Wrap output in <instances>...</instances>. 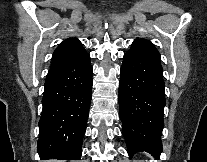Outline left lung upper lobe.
Listing matches in <instances>:
<instances>
[{
  "label": "left lung upper lobe",
  "mask_w": 207,
  "mask_h": 162,
  "mask_svg": "<svg viewBox=\"0 0 207 162\" xmlns=\"http://www.w3.org/2000/svg\"><path fill=\"white\" fill-rule=\"evenodd\" d=\"M129 51L140 55L154 57L160 60V54L158 50L150 41L145 39L134 40Z\"/></svg>",
  "instance_id": "left-lung-upper-lobe-1"
}]
</instances>
